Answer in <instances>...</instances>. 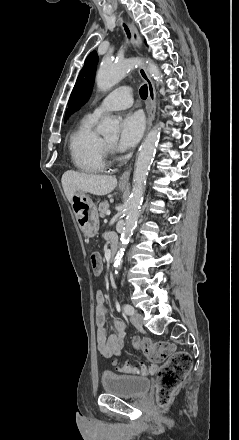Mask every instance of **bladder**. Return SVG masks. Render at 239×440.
Instances as JSON below:
<instances>
[{
  "label": "bladder",
  "instance_id": "bladder-1",
  "mask_svg": "<svg viewBox=\"0 0 239 440\" xmlns=\"http://www.w3.org/2000/svg\"><path fill=\"white\" fill-rule=\"evenodd\" d=\"M101 385L107 394L121 398H139L150 390L151 381L147 377L105 371L101 375Z\"/></svg>",
  "mask_w": 239,
  "mask_h": 440
}]
</instances>
